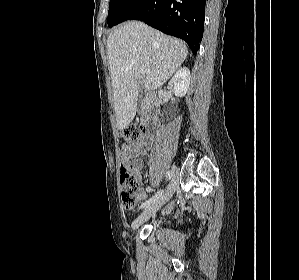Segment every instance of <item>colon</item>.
Here are the masks:
<instances>
[{"label":"colon","mask_w":299,"mask_h":280,"mask_svg":"<svg viewBox=\"0 0 299 280\" xmlns=\"http://www.w3.org/2000/svg\"><path fill=\"white\" fill-rule=\"evenodd\" d=\"M139 139L140 131L137 126L129 125L121 130L122 146L135 143ZM120 184L123 207L126 211L133 212L140 201L139 194L142 182L137 165L129 162L124 156L120 166Z\"/></svg>","instance_id":"1"}]
</instances>
